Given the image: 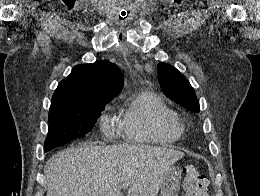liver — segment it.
I'll return each mask as SVG.
<instances>
[{
    "label": "liver",
    "mask_w": 260,
    "mask_h": 196,
    "mask_svg": "<svg viewBox=\"0 0 260 196\" xmlns=\"http://www.w3.org/2000/svg\"><path fill=\"white\" fill-rule=\"evenodd\" d=\"M185 154L161 146L79 144L50 158L47 196H157L173 164Z\"/></svg>",
    "instance_id": "6515ba94"
}]
</instances>
